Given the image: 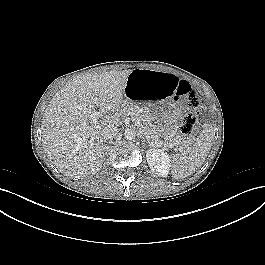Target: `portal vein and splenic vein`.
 I'll return each instance as SVG.
<instances>
[{"instance_id": "1", "label": "portal vein and splenic vein", "mask_w": 265, "mask_h": 265, "mask_svg": "<svg viewBox=\"0 0 265 265\" xmlns=\"http://www.w3.org/2000/svg\"><path fill=\"white\" fill-rule=\"evenodd\" d=\"M95 103H97V100L95 99ZM100 115H101V113H100V111H94L92 114H91V121L93 122V123H96L97 122V119L100 117ZM137 124L138 125H140V123L139 122H137ZM158 145H162V143H158ZM164 146H166V147H168V148H174V146L172 145V144H166V143H164L163 144Z\"/></svg>"}]
</instances>
